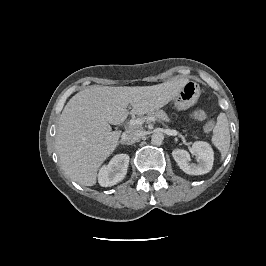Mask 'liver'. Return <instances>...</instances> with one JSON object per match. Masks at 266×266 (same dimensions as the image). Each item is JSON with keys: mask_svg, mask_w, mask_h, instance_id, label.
I'll use <instances>...</instances> for the list:
<instances>
[{"mask_svg": "<svg viewBox=\"0 0 266 266\" xmlns=\"http://www.w3.org/2000/svg\"><path fill=\"white\" fill-rule=\"evenodd\" d=\"M186 81L180 78L135 87L92 85L74 95L62 111L55 138L66 176L80 185H95L100 166L117 147L121 134L112 131L110 124L125 121L129 114L144 115L162 108Z\"/></svg>", "mask_w": 266, "mask_h": 266, "instance_id": "1", "label": "liver"}]
</instances>
